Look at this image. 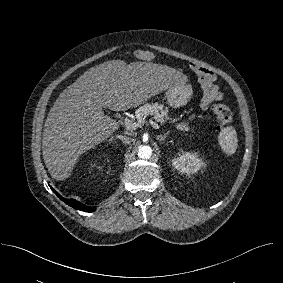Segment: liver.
<instances>
[{
    "label": "liver",
    "mask_w": 283,
    "mask_h": 283,
    "mask_svg": "<svg viewBox=\"0 0 283 283\" xmlns=\"http://www.w3.org/2000/svg\"><path fill=\"white\" fill-rule=\"evenodd\" d=\"M180 80L181 73L166 65L122 60L84 72L59 95L44 124L42 153L52 178H68L80 155L118 130L102 108L139 106Z\"/></svg>",
    "instance_id": "liver-1"
}]
</instances>
